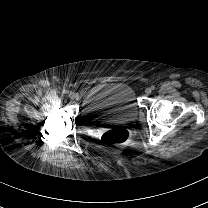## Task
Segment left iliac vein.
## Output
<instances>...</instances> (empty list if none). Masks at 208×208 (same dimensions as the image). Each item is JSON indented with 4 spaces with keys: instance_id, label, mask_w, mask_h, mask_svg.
<instances>
[{
    "instance_id": "4c4485c4",
    "label": "left iliac vein",
    "mask_w": 208,
    "mask_h": 208,
    "mask_svg": "<svg viewBox=\"0 0 208 208\" xmlns=\"http://www.w3.org/2000/svg\"><path fill=\"white\" fill-rule=\"evenodd\" d=\"M151 92H152V91H151V88H150V87H148V88L145 89V93H146V94H150Z\"/></svg>"
}]
</instances>
